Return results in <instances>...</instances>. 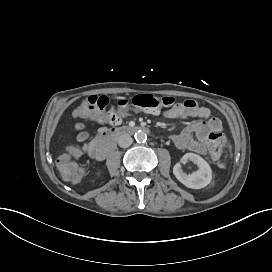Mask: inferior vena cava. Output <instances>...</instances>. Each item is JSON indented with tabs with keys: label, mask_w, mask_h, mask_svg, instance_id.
Here are the masks:
<instances>
[{
	"label": "inferior vena cava",
	"mask_w": 272,
	"mask_h": 272,
	"mask_svg": "<svg viewBox=\"0 0 272 272\" xmlns=\"http://www.w3.org/2000/svg\"><path fill=\"white\" fill-rule=\"evenodd\" d=\"M133 142V139L128 134H123L118 139V144L120 147L126 148L129 147Z\"/></svg>",
	"instance_id": "1"
}]
</instances>
